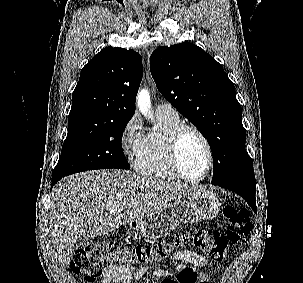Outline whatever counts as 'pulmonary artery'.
<instances>
[{
	"instance_id": "e3ab8cb5",
	"label": "pulmonary artery",
	"mask_w": 303,
	"mask_h": 283,
	"mask_svg": "<svg viewBox=\"0 0 303 283\" xmlns=\"http://www.w3.org/2000/svg\"><path fill=\"white\" fill-rule=\"evenodd\" d=\"M156 112L166 113V114H175L176 111L169 103H160L156 106Z\"/></svg>"
}]
</instances>
